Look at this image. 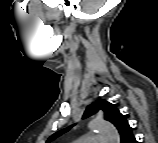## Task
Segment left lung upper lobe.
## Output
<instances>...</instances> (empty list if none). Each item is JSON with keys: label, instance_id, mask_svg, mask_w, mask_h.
I'll return each instance as SVG.
<instances>
[{"label": "left lung upper lobe", "instance_id": "1", "mask_svg": "<svg viewBox=\"0 0 158 143\" xmlns=\"http://www.w3.org/2000/svg\"><path fill=\"white\" fill-rule=\"evenodd\" d=\"M99 110H102L104 113V118L107 121L111 122L117 128V130L120 134L122 143H124V141L129 136L133 135L132 129L129 126L125 115L121 114L120 111L117 109V107L114 104H112L104 99H99L96 102L89 105L84 113L83 119L97 113ZM71 127L72 126L54 133L52 136H50V138L48 139L47 142L55 139L56 137L62 135L65 132H67Z\"/></svg>", "mask_w": 158, "mask_h": 143}]
</instances>
